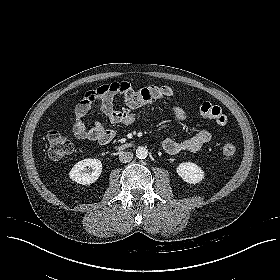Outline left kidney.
Segmentation results:
<instances>
[{"label":"left kidney","instance_id":"left-kidney-1","mask_svg":"<svg viewBox=\"0 0 280 280\" xmlns=\"http://www.w3.org/2000/svg\"><path fill=\"white\" fill-rule=\"evenodd\" d=\"M177 174L189 184H197L204 178V172L195 163L183 162L176 168Z\"/></svg>","mask_w":280,"mask_h":280}]
</instances>
